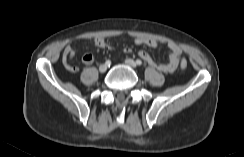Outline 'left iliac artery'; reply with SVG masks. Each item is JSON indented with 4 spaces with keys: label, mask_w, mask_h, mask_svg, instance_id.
<instances>
[{
    "label": "left iliac artery",
    "mask_w": 244,
    "mask_h": 157,
    "mask_svg": "<svg viewBox=\"0 0 244 157\" xmlns=\"http://www.w3.org/2000/svg\"><path fill=\"white\" fill-rule=\"evenodd\" d=\"M136 64H137L138 66H141V65H142V61H141L140 59H137V60H136Z\"/></svg>",
    "instance_id": "left-iliac-artery-1"
}]
</instances>
